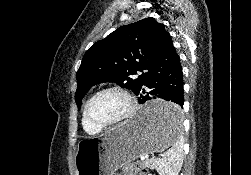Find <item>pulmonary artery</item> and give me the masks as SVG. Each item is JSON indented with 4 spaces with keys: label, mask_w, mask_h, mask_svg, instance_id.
<instances>
[{
    "label": "pulmonary artery",
    "mask_w": 251,
    "mask_h": 175,
    "mask_svg": "<svg viewBox=\"0 0 251 175\" xmlns=\"http://www.w3.org/2000/svg\"><path fill=\"white\" fill-rule=\"evenodd\" d=\"M149 68L151 69L152 67L150 66ZM142 79H147V74H142Z\"/></svg>",
    "instance_id": "obj_1"
}]
</instances>
